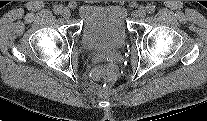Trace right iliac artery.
Instances as JSON below:
<instances>
[{"instance_id":"right-iliac-artery-1","label":"right iliac artery","mask_w":207,"mask_h":121,"mask_svg":"<svg viewBox=\"0 0 207 121\" xmlns=\"http://www.w3.org/2000/svg\"><path fill=\"white\" fill-rule=\"evenodd\" d=\"M62 10H63V7L61 5H57V6L54 7V12L57 15L62 14Z\"/></svg>"}]
</instances>
